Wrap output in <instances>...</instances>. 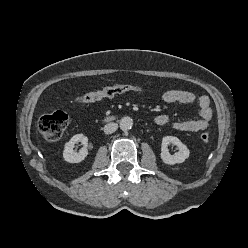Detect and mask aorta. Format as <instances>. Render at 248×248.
<instances>
[{
  "mask_svg": "<svg viewBox=\"0 0 248 248\" xmlns=\"http://www.w3.org/2000/svg\"><path fill=\"white\" fill-rule=\"evenodd\" d=\"M119 126L123 131L130 130L133 126V119L131 117L124 116L120 119Z\"/></svg>",
  "mask_w": 248,
  "mask_h": 248,
  "instance_id": "762f6f07",
  "label": "aorta"
}]
</instances>
